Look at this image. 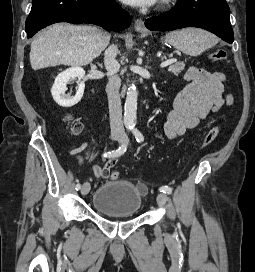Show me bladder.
<instances>
[{"instance_id":"bladder-1","label":"bladder","mask_w":255,"mask_h":272,"mask_svg":"<svg viewBox=\"0 0 255 272\" xmlns=\"http://www.w3.org/2000/svg\"><path fill=\"white\" fill-rule=\"evenodd\" d=\"M92 205L104 216H135L142 206V194L131 181H107L95 190Z\"/></svg>"}]
</instances>
